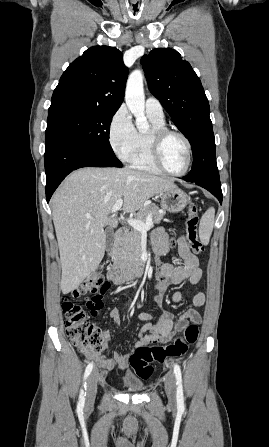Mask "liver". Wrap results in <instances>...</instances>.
Returning a JSON list of instances; mask_svg holds the SVG:
<instances>
[{"label": "liver", "mask_w": 269, "mask_h": 447, "mask_svg": "<svg viewBox=\"0 0 269 447\" xmlns=\"http://www.w3.org/2000/svg\"><path fill=\"white\" fill-rule=\"evenodd\" d=\"M170 188L176 186L169 180L128 168H81L68 176L52 200L63 293L76 289L104 257V227L118 225L109 216L116 200H123L124 214H132L146 200Z\"/></svg>", "instance_id": "6515ba94"}]
</instances>
